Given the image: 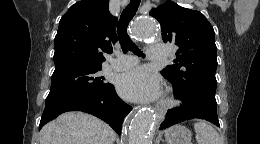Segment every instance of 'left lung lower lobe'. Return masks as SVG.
I'll return each mask as SVG.
<instances>
[{
	"label": "left lung lower lobe",
	"mask_w": 260,
	"mask_h": 144,
	"mask_svg": "<svg viewBox=\"0 0 260 144\" xmlns=\"http://www.w3.org/2000/svg\"><path fill=\"white\" fill-rule=\"evenodd\" d=\"M182 102L183 104L180 107L168 111L165 120L160 125V129L163 130L190 119H203L218 127L220 126L216 111V100L193 94L188 101Z\"/></svg>",
	"instance_id": "0a47b994"
}]
</instances>
